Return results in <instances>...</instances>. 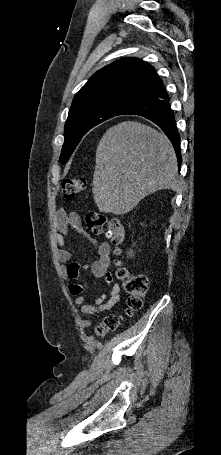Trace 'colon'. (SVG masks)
<instances>
[{"mask_svg":"<svg viewBox=\"0 0 221 455\" xmlns=\"http://www.w3.org/2000/svg\"><path fill=\"white\" fill-rule=\"evenodd\" d=\"M87 186L83 178H68L62 182L61 198L65 201L74 199ZM87 226L96 234L105 233L115 246H120L125 240V230L118 218L109 217L98 212L88 213L86 216ZM118 252V251H117ZM116 277L121 281L127 295V314L141 309L143 297L148 289V278L143 274H132L129 269L118 264ZM120 318L116 316L107 317L98 327L97 332L103 334L106 331L117 327Z\"/></svg>","mask_w":221,"mask_h":455,"instance_id":"obj_1","label":"colon"}]
</instances>
